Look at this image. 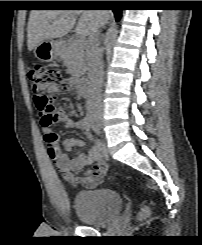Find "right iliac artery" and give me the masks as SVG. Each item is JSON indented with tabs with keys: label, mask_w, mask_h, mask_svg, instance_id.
<instances>
[{
	"label": "right iliac artery",
	"mask_w": 202,
	"mask_h": 245,
	"mask_svg": "<svg viewBox=\"0 0 202 245\" xmlns=\"http://www.w3.org/2000/svg\"><path fill=\"white\" fill-rule=\"evenodd\" d=\"M82 126L85 130L89 131L90 128H91V118L89 116H85L83 119H82Z\"/></svg>",
	"instance_id": "1"
}]
</instances>
